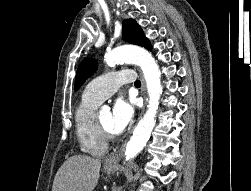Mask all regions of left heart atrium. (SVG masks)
I'll return each instance as SVG.
<instances>
[{
  "mask_svg": "<svg viewBox=\"0 0 251 191\" xmlns=\"http://www.w3.org/2000/svg\"><path fill=\"white\" fill-rule=\"evenodd\" d=\"M134 116L133 106L124 100L114 103L110 114V131L114 134L122 133Z\"/></svg>",
  "mask_w": 251,
  "mask_h": 191,
  "instance_id": "obj_1",
  "label": "left heart atrium"
}]
</instances>
